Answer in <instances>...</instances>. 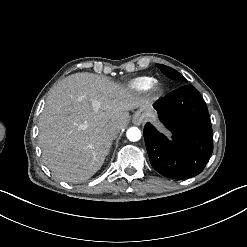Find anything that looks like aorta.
Masks as SVG:
<instances>
[{
    "instance_id": "1",
    "label": "aorta",
    "mask_w": 247,
    "mask_h": 247,
    "mask_svg": "<svg viewBox=\"0 0 247 247\" xmlns=\"http://www.w3.org/2000/svg\"><path fill=\"white\" fill-rule=\"evenodd\" d=\"M127 138L130 141H138L141 138V132L137 127H131L126 132Z\"/></svg>"
}]
</instances>
